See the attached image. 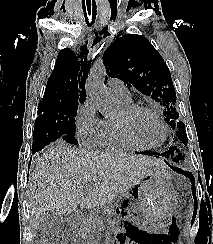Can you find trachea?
Instances as JSON below:
<instances>
[{"label": "trachea", "instance_id": "trachea-1", "mask_svg": "<svg viewBox=\"0 0 213 244\" xmlns=\"http://www.w3.org/2000/svg\"><path fill=\"white\" fill-rule=\"evenodd\" d=\"M84 14H85L86 18H87V15H88V18L89 19L91 18V24H94V21H95V18H96V7L93 8L92 11H91V8H87V11H86V9H84Z\"/></svg>", "mask_w": 213, "mask_h": 244}]
</instances>
